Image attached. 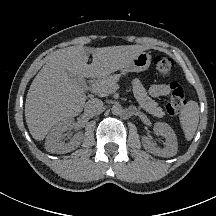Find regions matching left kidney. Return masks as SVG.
Segmentation results:
<instances>
[{
  "label": "left kidney",
  "mask_w": 216,
  "mask_h": 216,
  "mask_svg": "<svg viewBox=\"0 0 216 216\" xmlns=\"http://www.w3.org/2000/svg\"><path fill=\"white\" fill-rule=\"evenodd\" d=\"M154 132L165 138V147L160 149L155 146L149 137L143 136L142 144L145 150L154 155L166 158L176 155L178 144L177 137L173 129L166 123L158 122L154 125Z\"/></svg>",
  "instance_id": "5707ae66"
}]
</instances>
